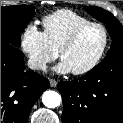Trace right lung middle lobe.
Listing matches in <instances>:
<instances>
[{
    "label": "right lung middle lobe",
    "instance_id": "1",
    "mask_svg": "<svg viewBox=\"0 0 123 123\" xmlns=\"http://www.w3.org/2000/svg\"><path fill=\"white\" fill-rule=\"evenodd\" d=\"M35 7L17 5L1 7V44L20 46V34L34 16Z\"/></svg>",
    "mask_w": 123,
    "mask_h": 123
}]
</instances>
